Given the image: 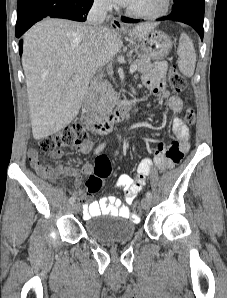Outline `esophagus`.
<instances>
[{"label": "esophagus", "mask_w": 227, "mask_h": 298, "mask_svg": "<svg viewBox=\"0 0 227 298\" xmlns=\"http://www.w3.org/2000/svg\"><path fill=\"white\" fill-rule=\"evenodd\" d=\"M110 25H111L112 29L117 30V31H121L124 29L121 21L116 17L111 18Z\"/></svg>", "instance_id": "obj_1"}]
</instances>
